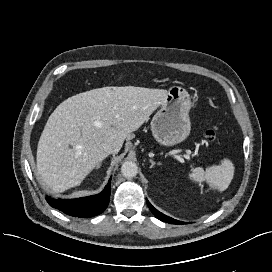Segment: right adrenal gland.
<instances>
[{"mask_svg":"<svg viewBox=\"0 0 272 272\" xmlns=\"http://www.w3.org/2000/svg\"><path fill=\"white\" fill-rule=\"evenodd\" d=\"M100 167V164L97 166V168H99Z\"/></svg>","mask_w":272,"mask_h":272,"instance_id":"2a0ac1e0","label":"right adrenal gland"}]
</instances>
